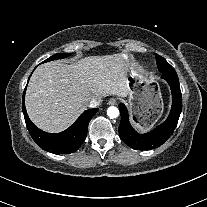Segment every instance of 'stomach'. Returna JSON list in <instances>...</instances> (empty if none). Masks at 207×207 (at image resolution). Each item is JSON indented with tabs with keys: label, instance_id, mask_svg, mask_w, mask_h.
<instances>
[{
	"label": "stomach",
	"instance_id": "1",
	"mask_svg": "<svg viewBox=\"0 0 207 207\" xmlns=\"http://www.w3.org/2000/svg\"><path fill=\"white\" fill-rule=\"evenodd\" d=\"M126 65H129L128 57L122 54ZM128 106L137 118V127L146 131L153 127L163 112V100L161 91L145 76L136 74L127 76Z\"/></svg>",
	"mask_w": 207,
	"mask_h": 207
}]
</instances>
